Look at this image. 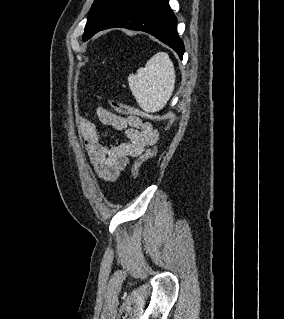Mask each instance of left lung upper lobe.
<instances>
[{
    "label": "left lung upper lobe",
    "mask_w": 284,
    "mask_h": 319,
    "mask_svg": "<svg viewBox=\"0 0 284 319\" xmlns=\"http://www.w3.org/2000/svg\"><path fill=\"white\" fill-rule=\"evenodd\" d=\"M123 2L124 0H95L88 13L83 40L86 41L99 32Z\"/></svg>",
    "instance_id": "obj_1"
}]
</instances>
